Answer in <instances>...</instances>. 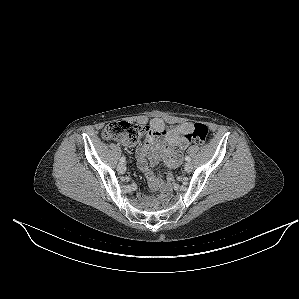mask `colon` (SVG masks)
<instances>
[{
    "label": "colon",
    "mask_w": 299,
    "mask_h": 299,
    "mask_svg": "<svg viewBox=\"0 0 299 299\" xmlns=\"http://www.w3.org/2000/svg\"><path fill=\"white\" fill-rule=\"evenodd\" d=\"M148 128L141 124L115 121L108 124L103 130L102 136L107 140H127L129 142L138 141ZM208 135V127L203 123H195L192 130L187 134V139L197 145L204 143ZM167 198V190L163 188L158 195V200L163 201Z\"/></svg>",
    "instance_id": "colon-1"
}]
</instances>
